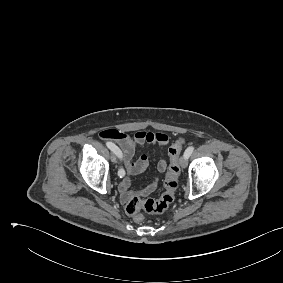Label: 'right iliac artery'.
<instances>
[{
  "label": "right iliac artery",
  "instance_id": "82829eb1",
  "mask_svg": "<svg viewBox=\"0 0 283 283\" xmlns=\"http://www.w3.org/2000/svg\"><path fill=\"white\" fill-rule=\"evenodd\" d=\"M106 146L114 153L118 156V158L121 157V151L120 149L112 142H106ZM118 175L121 177V175H124V172L122 169H119L118 171Z\"/></svg>",
  "mask_w": 283,
  "mask_h": 283
}]
</instances>
